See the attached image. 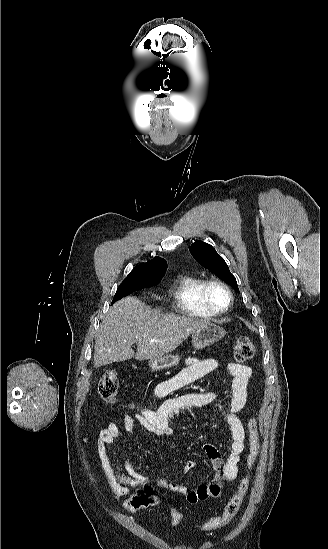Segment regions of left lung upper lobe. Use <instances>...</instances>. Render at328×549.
Listing matches in <instances>:
<instances>
[{
	"instance_id": "left-lung-upper-lobe-1",
	"label": "left lung upper lobe",
	"mask_w": 328,
	"mask_h": 549,
	"mask_svg": "<svg viewBox=\"0 0 328 549\" xmlns=\"http://www.w3.org/2000/svg\"><path fill=\"white\" fill-rule=\"evenodd\" d=\"M190 252L197 262L225 281L236 291H239L236 278L231 274L225 260L216 250L203 241H196L190 247Z\"/></svg>"
}]
</instances>
